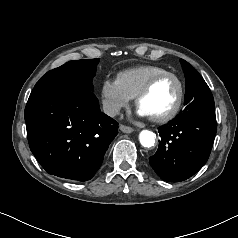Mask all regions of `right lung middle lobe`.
Masks as SVG:
<instances>
[{
	"label": "right lung middle lobe",
	"instance_id": "right-lung-middle-lobe-1",
	"mask_svg": "<svg viewBox=\"0 0 238 238\" xmlns=\"http://www.w3.org/2000/svg\"><path fill=\"white\" fill-rule=\"evenodd\" d=\"M98 62L99 59L69 61L62 66L47 72L36 83L34 89L71 84L92 91V80L96 74V66Z\"/></svg>",
	"mask_w": 238,
	"mask_h": 238
}]
</instances>
